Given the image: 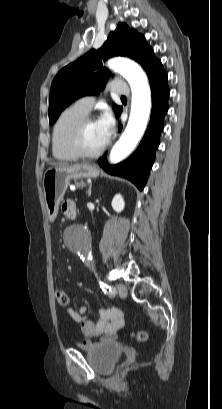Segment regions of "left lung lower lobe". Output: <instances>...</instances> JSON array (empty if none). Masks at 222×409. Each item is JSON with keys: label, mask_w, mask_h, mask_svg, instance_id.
<instances>
[{"label": "left lung lower lobe", "mask_w": 222, "mask_h": 409, "mask_svg": "<svg viewBox=\"0 0 222 409\" xmlns=\"http://www.w3.org/2000/svg\"><path fill=\"white\" fill-rule=\"evenodd\" d=\"M149 80L152 91L151 119L139 147L130 158L118 165L110 166L106 155L98 160L100 167L107 173L129 179L139 190H143L153 165L155 150L159 145V135L163 129V118L168 110L169 89L166 72L162 70ZM121 112L122 109L117 118Z\"/></svg>", "instance_id": "1"}]
</instances>
